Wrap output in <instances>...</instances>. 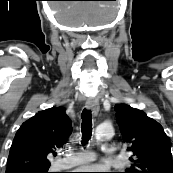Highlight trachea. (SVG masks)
<instances>
[{
	"mask_svg": "<svg viewBox=\"0 0 173 173\" xmlns=\"http://www.w3.org/2000/svg\"><path fill=\"white\" fill-rule=\"evenodd\" d=\"M82 144L88 143L92 135V114L90 110L84 109L81 114Z\"/></svg>",
	"mask_w": 173,
	"mask_h": 173,
	"instance_id": "trachea-1",
	"label": "trachea"
}]
</instances>
